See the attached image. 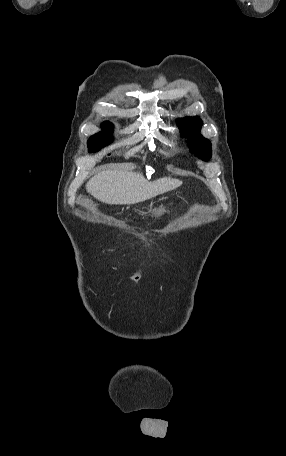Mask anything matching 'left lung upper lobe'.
Returning a JSON list of instances; mask_svg holds the SVG:
<instances>
[{
	"label": "left lung upper lobe",
	"instance_id": "5c2ea615",
	"mask_svg": "<svg viewBox=\"0 0 286 456\" xmlns=\"http://www.w3.org/2000/svg\"><path fill=\"white\" fill-rule=\"evenodd\" d=\"M182 137L188 138V145L199 158L207 161L211 157V143L199 134L202 120L199 117L178 119Z\"/></svg>",
	"mask_w": 286,
	"mask_h": 456
}]
</instances>
